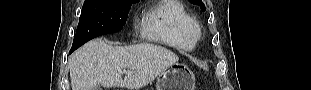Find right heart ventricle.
Instances as JSON below:
<instances>
[{"mask_svg": "<svg viewBox=\"0 0 311 90\" xmlns=\"http://www.w3.org/2000/svg\"><path fill=\"white\" fill-rule=\"evenodd\" d=\"M196 25L194 16L182 2L166 0L144 14L141 29L148 40L178 50L191 51L196 42L192 36V30Z\"/></svg>", "mask_w": 311, "mask_h": 90, "instance_id": "obj_1", "label": "right heart ventricle"}]
</instances>
